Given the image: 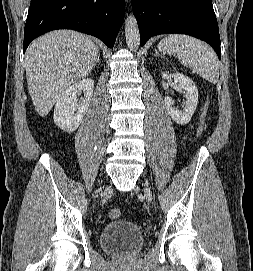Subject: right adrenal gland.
Listing matches in <instances>:
<instances>
[{"instance_id": "obj_1", "label": "right adrenal gland", "mask_w": 253, "mask_h": 271, "mask_svg": "<svg viewBox=\"0 0 253 271\" xmlns=\"http://www.w3.org/2000/svg\"><path fill=\"white\" fill-rule=\"evenodd\" d=\"M100 62V55L97 57L96 63Z\"/></svg>"}]
</instances>
